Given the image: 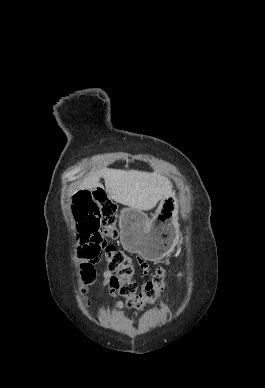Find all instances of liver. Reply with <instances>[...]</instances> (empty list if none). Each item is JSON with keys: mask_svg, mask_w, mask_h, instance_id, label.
Segmentation results:
<instances>
[{"mask_svg": "<svg viewBox=\"0 0 265 388\" xmlns=\"http://www.w3.org/2000/svg\"><path fill=\"white\" fill-rule=\"evenodd\" d=\"M100 178H104L106 192L114 202L135 208V210H152L160 200H165L172 188L168 178L161 176L159 172H138V170H109L102 168L100 172H94L79 186L82 190L103 188L99 184Z\"/></svg>", "mask_w": 265, "mask_h": 388, "instance_id": "liver-1", "label": "liver"}]
</instances>
